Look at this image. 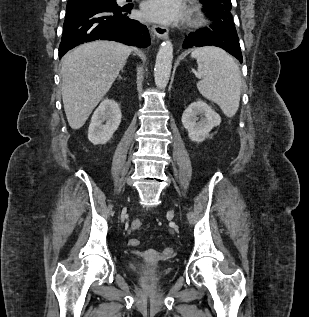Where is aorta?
<instances>
[{"instance_id":"1","label":"aorta","mask_w":309,"mask_h":317,"mask_svg":"<svg viewBox=\"0 0 309 317\" xmlns=\"http://www.w3.org/2000/svg\"><path fill=\"white\" fill-rule=\"evenodd\" d=\"M173 45L170 40L162 42L156 56L154 80L159 89H164L169 81L172 69Z\"/></svg>"}]
</instances>
